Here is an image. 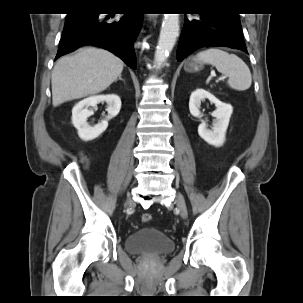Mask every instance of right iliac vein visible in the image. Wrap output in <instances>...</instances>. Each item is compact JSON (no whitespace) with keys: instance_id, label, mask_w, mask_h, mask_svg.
<instances>
[{"instance_id":"1","label":"right iliac vein","mask_w":303,"mask_h":303,"mask_svg":"<svg viewBox=\"0 0 303 303\" xmlns=\"http://www.w3.org/2000/svg\"><path fill=\"white\" fill-rule=\"evenodd\" d=\"M131 203H132V199H131V197H128L127 201H126L127 206H130Z\"/></svg>"}]
</instances>
